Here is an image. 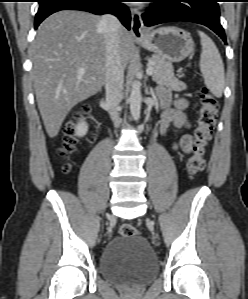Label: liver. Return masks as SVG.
<instances>
[{"mask_svg": "<svg viewBox=\"0 0 248 299\" xmlns=\"http://www.w3.org/2000/svg\"><path fill=\"white\" fill-rule=\"evenodd\" d=\"M100 17L82 11L52 14L39 26L31 47L32 78L46 132L57 136L70 110L105 83V39ZM134 49L132 35L120 25L123 69ZM84 69V73L79 72Z\"/></svg>", "mask_w": 248, "mask_h": 299, "instance_id": "obj_1", "label": "liver"}]
</instances>
